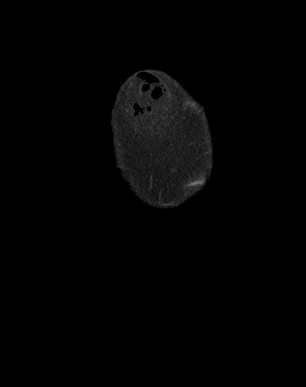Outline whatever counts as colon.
<instances>
[{
    "mask_svg": "<svg viewBox=\"0 0 306 387\" xmlns=\"http://www.w3.org/2000/svg\"><path fill=\"white\" fill-rule=\"evenodd\" d=\"M150 93L153 99H157L161 94V90L159 87H154V88H151Z\"/></svg>",
    "mask_w": 306,
    "mask_h": 387,
    "instance_id": "colon-1",
    "label": "colon"
}]
</instances>
